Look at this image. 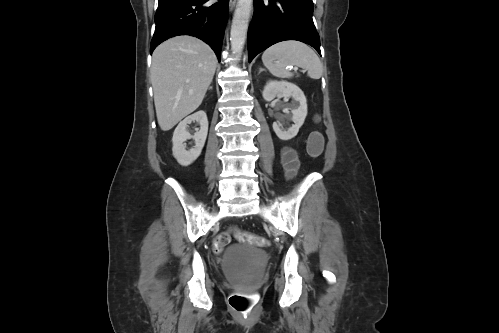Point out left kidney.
Returning <instances> with one entry per match:
<instances>
[{
  "instance_id": "1",
  "label": "left kidney",
  "mask_w": 499,
  "mask_h": 333,
  "mask_svg": "<svg viewBox=\"0 0 499 333\" xmlns=\"http://www.w3.org/2000/svg\"><path fill=\"white\" fill-rule=\"evenodd\" d=\"M262 96L266 101H272L275 97H283L284 99L292 97L294 99L290 118L293 124L289 128H284V125L288 124L285 118L273 123V130L281 140L286 141L294 138L307 116V100L303 91L297 85L287 81H269L264 87Z\"/></svg>"
}]
</instances>
